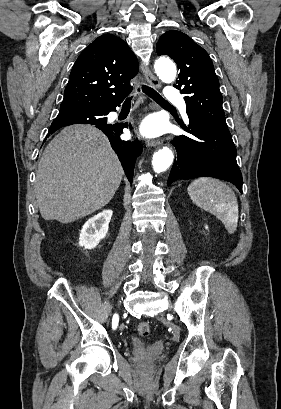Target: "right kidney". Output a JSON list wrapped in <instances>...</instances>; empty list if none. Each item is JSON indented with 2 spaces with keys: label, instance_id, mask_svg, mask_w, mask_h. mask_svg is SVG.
Masks as SVG:
<instances>
[{
  "label": "right kidney",
  "instance_id": "obj_1",
  "mask_svg": "<svg viewBox=\"0 0 281 409\" xmlns=\"http://www.w3.org/2000/svg\"><path fill=\"white\" fill-rule=\"evenodd\" d=\"M112 213L113 211H110V209H105L102 213H98V215H94V217L86 221L79 237L80 247H85V249L97 247L101 239H104L108 233Z\"/></svg>",
  "mask_w": 281,
  "mask_h": 409
}]
</instances>
